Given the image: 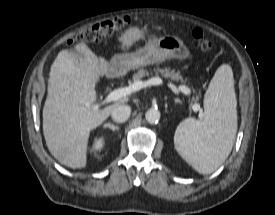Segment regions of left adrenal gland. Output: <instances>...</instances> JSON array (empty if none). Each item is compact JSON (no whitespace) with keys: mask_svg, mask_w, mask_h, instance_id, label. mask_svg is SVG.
<instances>
[{"mask_svg":"<svg viewBox=\"0 0 275 215\" xmlns=\"http://www.w3.org/2000/svg\"><path fill=\"white\" fill-rule=\"evenodd\" d=\"M175 103H181V101L180 100H178V99H175Z\"/></svg>","mask_w":275,"mask_h":215,"instance_id":"obj_1","label":"left adrenal gland"}]
</instances>
